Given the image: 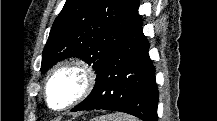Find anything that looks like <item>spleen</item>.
I'll return each mask as SVG.
<instances>
[{"mask_svg":"<svg viewBox=\"0 0 217 121\" xmlns=\"http://www.w3.org/2000/svg\"><path fill=\"white\" fill-rule=\"evenodd\" d=\"M95 121H135L132 117H129L122 113L108 114L102 117L94 119Z\"/></svg>","mask_w":217,"mask_h":121,"instance_id":"spleen-1","label":"spleen"}]
</instances>
